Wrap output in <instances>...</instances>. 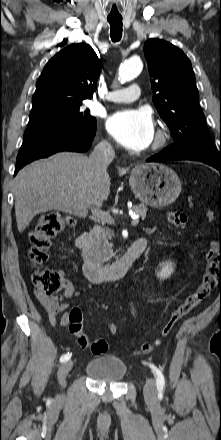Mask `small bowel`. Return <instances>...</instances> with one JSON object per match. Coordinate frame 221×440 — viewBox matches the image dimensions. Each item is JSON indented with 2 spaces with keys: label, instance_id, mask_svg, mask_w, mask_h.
<instances>
[{
  "label": "small bowel",
  "instance_id": "1",
  "mask_svg": "<svg viewBox=\"0 0 221 440\" xmlns=\"http://www.w3.org/2000/svg\"><path fill=\"white\" fill-rule=\"evenodd\" d=\"M132 280L134 283H139V280L136 276H133ZM73 294V284L68 280L64 281V290L59 296L47 298L38 291L35 292L37 299L45 308L49 321L53 326L58 324L61 326H67L69 324V312L71 310V305L66 300L69 299ZM127 305L130 311V321L132 322L137 317V306L131 297H127ZM59 313H62L60 320L57 319V315Z\"/></svg>",
  "mask_w": 221,
  "mask_h": 440
}]
</instances>
